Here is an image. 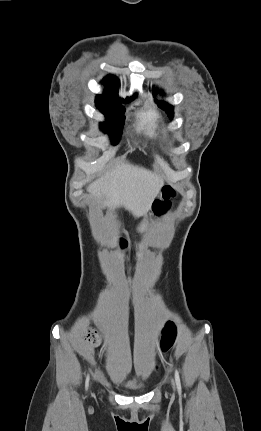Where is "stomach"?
<instances>
[{"label":"stomach","instance_id":"1","mask_svg":"<svg viewBox=\"0 0 261 431\" xmlns=\"http://www.w3.org/2000/svg\"><path fill=\"white\" fill-rule=\"evenodd\" d=\"M146 228V224H145V222H141L140 223V225L138 226V230H141V231H143L144 229Z\"/></svg>","mask_w":261,"mask_h":431}]
</instances>
